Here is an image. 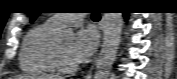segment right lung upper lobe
<instances>
[{
  "mask_svg": "<svg viewBox=\"0 0 177 79\" xmlns=\"http://www.w3.org/2000/svg\"><path fill=\"white\" fill-rule=\"evenodd\" d=\"M39 14L40 13H38V12H34L32 17H31V22H33Z\"/></svg>",
  "mask_w": 177,
  "mask_h": 79,
  "instance_id": "1",
  "label": "right lung upper lobe"
}]
</instances>
